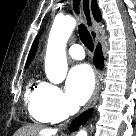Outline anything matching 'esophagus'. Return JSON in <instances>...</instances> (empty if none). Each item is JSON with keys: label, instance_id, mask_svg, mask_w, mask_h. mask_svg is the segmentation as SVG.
<instances>
[{"label": "esophagus", "instance_id": "1", "mask_svg": "<svg viewBox=\"0 0 136 136\" xmlns=\"http://www.w3.org/2000/svg\"><path fill=\"white\" fill-rule=\"evenodd\" d=\"M81 7H82L83 16L85 19V24L91 34V37L95 45H97L99 36L96 31V21L93 17L92 10H91V0H81ZM100 87H101V72L97 70L94 92L92 94L91 99L89 100L88 104L86 105L83 111H86L95 105L97 98H98L99 91H100Z\"/></svg>", "mask_w": 136, "mask_h": 136}]
</instances>
